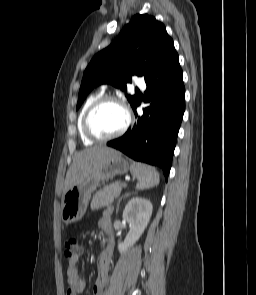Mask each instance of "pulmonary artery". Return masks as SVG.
Segmentation results:
<instances>
[{
	"instance_id": "1",
	"label": "pulmonary artery",
	"mask_w": 256,
	"mask_h": 295,
	"mask_svg": "<svg viewBox=\"0 0 256 295\" xmlns=\"http://www.w3.org/2000/svg\"><path fill=\"white\" fill-rule=\"evenodd\" d=\"M134 82H135V84H136L138 87H140V88H142V89L145 88V81H144L143 78L138 77V78L135 79ZM105 88H106V86H103V87H102L103 90H104Z\"/></svg>"
}]
</instances>
